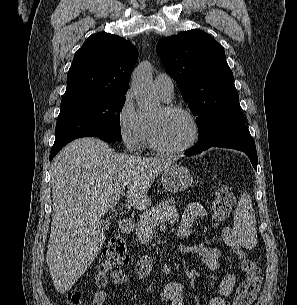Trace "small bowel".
Returning a JSON list of instances; mask_svg holds the SVG:
<instances>
[{
  "instance_id": "1",
  "label": "small bowel",
  "mask_w": 297,
  "mask_h": 305,
  "mask_svg": "<svg viewBox=\"0 0 297 305\" xmlns=\"http://www.w3.org/2000/svg\"><path fill=\"white\" fill-rule=\"evenodd\" d=\"M204 216H207V211L201 204H189L183 212L182 219L177 228V235L179 237H188L192 232L195 221ZM222 239L224 244L235 250L240 258L246 257V250L242 239L233 228H225L222 233ZM176 250L182 254H199L204 265L211 270L219 267V260L222 256L221 249L210 247L203 242L193 245L179 244L176 246ZM152 266L150 257H142L137 263L135 277L139 279L146 277L151 272ZM108 278L117 285H123L128 282L130 276L122 270L109 275H98L96 278L97 291L92 298L91 305H104L109 299L110 293L106 288ZM236 282L237 275L235 273L224 275L217 285L215 296L208 301L207 305H225L236 286ZM125 293L129 295L132 302L136 301L137 295L133 291L126 290ZM161 300L164 304L184 305L182 284L176 281L166 284L161 294Z\"/></svg>"
}]
</instances>
